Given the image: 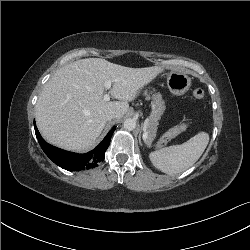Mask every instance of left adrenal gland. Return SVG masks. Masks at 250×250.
<instances>
[{"label":"left adrenal gland","mask_w":250,"mask_h":250,"mask_svg":"<svg viewBox=\"0 0 250 250\" xmlns=\"http://www.w3.org/2000/svg\"><path fill=\"white\" fill-rule=\"evenodd\" d=\"M142 130L145 131V126L142 125ZM139 142L141 143V132L139 134Z\"/></svg>","instance_id":"left-adrenal-gland-1"}]
</instances>
